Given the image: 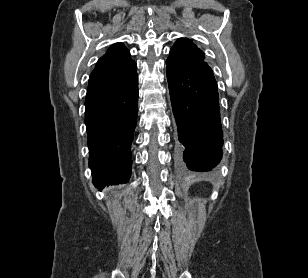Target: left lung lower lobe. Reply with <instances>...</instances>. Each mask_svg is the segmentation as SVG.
<instances>
[{
  "label": "left lung lower lobe",
  "mask_w": 308,
  "mask_h": 278,
  "mask_svg": "<svg viewBox=\"0 0 308 278\" xmlns=\"http://www.w3.org/2000/svg\"><path fill=\"white\" fill-rule=\"evenodd\" d=\"M177 125V144L190 170L209 171L222 157L217 83L204 61L187 67L167 65Z\"/></svg>",
  "instance_id": "1"
}]
</instances>
